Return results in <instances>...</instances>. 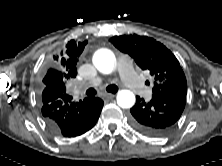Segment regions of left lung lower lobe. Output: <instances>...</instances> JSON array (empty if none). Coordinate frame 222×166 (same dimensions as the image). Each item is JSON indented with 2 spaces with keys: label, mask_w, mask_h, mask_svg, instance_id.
Returning a JSON list of instances; mask_svg holds the SVG:
<instances>
[{
  "label": "left lung lower lobe",
  "mask_w": 222,
  "mask_h": 166,
  "mask_svg": "<svg viewBox=\"0 0 222 166\" xmlns=\"http://www.w3.org/2000/svg\"><path fill=\"white\" fill-rule=\"evenodd\" d=\"M130 109V124L138 132L149 136L167 134L181 116L186 102V94L178 91L153 93L146 102L139 96Z\"/></svg>",
  "instance_id": "left-lung-lower-lobe-1"
}]
</instances>
